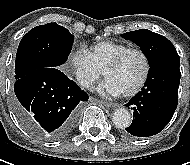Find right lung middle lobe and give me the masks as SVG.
<instances>
[{"mask_svg": "<svg viewBox=\"0 0 190 165\" xmlns=\"http://www.w3.org/2000/svg\"><path fill=\"white\" fill-rule=\"evenodd\" d=\"M74 36L57 23L40 25L21 40L15 62V79L45 67L57 68L71 52Z\"/></svg>", "mask_w": 190, "mask_h": 165, "instance_id": "obj_1", "label": "right lung middle lobe"}]
</instances>
